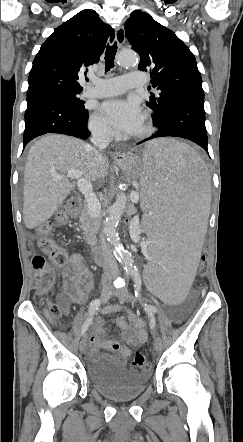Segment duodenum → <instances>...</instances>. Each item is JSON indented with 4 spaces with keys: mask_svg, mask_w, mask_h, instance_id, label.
I'll list each match as a JSON object with an SVG mask.
<instances>
[{
    "mask_svg": "<svg viewBox=\"0 0 243 442\" xmlns=\"http://www.w3.org/2000/svg\"><path fill=\"white\" fill-rule=\"evenodd\" d=\"M80 209V200L72 199L69 201L68 212L71 215H75ZM91 260L98 265L103 263V252L99 248H95L91 251Z\"/></svg>",
    "mask_w": 243,
    "mask_h": 442,
    "instance_id": "410a0bca",
    "label": "duodenum"
}]
</instances>
